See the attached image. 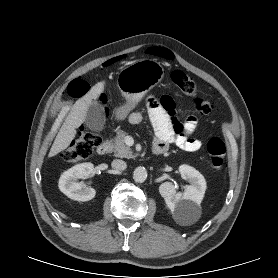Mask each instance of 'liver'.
<instances>
[{
	"mask_svg": "<svg viewBox=\"0 0 278 278\" xmlns=\"http://www.w3.org/2000/svg\"><path fill=\"white\" fill-rule=\"evenodd\" d=\"M104 86L105 81L98 82L87 94L75 102L54 140L49 157L57 155L70 145L77 133L76 129L85 121L90 104L103 93Z\"/></svg>",
	"mask_w": 278,
	"mask_h": 278,
	"instance_id": "liver-1",
	"label": "liver"
}]
</instances>
